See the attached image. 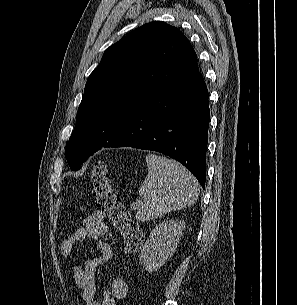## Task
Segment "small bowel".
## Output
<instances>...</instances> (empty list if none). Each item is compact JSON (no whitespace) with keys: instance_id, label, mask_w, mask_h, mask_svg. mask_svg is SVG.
Returning <instances> with one entry per match:
<instances>
[{"instance_id":"1","label":"small bowel","mask_w":297,"mask_h":305,"mask_svg":"<svg viewBox=\"0 0 297 305\" xmlns=\"http://www.w3.org/2000/svg\"><path fill=\"white\" fill-rule=\"evenodd\" d=\"M108 237L106 216L102 211H96L62 242L61 256L64 258L70 256L76 243L85 240L95 242L100 251V257L86 261L83 266H73L76 285L85 305H116L126 298L127 282L119 277L113 278L108 288L99 291L96 271L100 266L109 265L113 258V249L106 240Z\"/></svg>"}]
</instances>
